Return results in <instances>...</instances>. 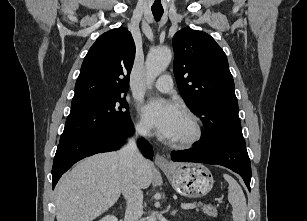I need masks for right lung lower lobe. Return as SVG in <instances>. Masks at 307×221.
<instances>
[{
	"label": "right lung lower lobe",
	"mask_w": 307,
	"mask_h": 221,
	"mask_svg": "<svg viewBox=\"0 0 307 221\" xmlns=\"http://www.w3.org/2000/svg\"><path fill=\"white\" fill-rule=\"evenodd\" d=\"M133 124L131 121L109 127L103 130L83 134L72 139L61 141L52 167V188L73 164L79 160L96 153L117 150L124 137L131 135ZM138 147L143 155L152 160L153 151L147 141H138Z\"/></svg>",
	"instance_id": "98d812e1"
}]
</instances>
